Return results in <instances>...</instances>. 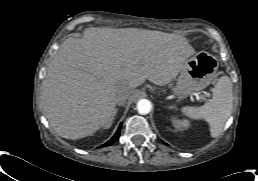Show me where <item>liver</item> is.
<instances>
[{
    "label": "liver",
    "mask_w": 258,
    "mask_h": 181,
    "mask_svg": "<svg viewBox=\"0 0 258 181\" xmlns=\"http://www.w3.org/2000/svg\"><path fill=\"white\" fill-rule=\"evenodd\" d=\"M194 48L180 35L136 28H88L60 46L42 84L41 104L61 137L89 136L113 118L117 97L142 85L168 84Z\"/></svg>",
    "instance_id": "obj_1"
}]
</instances>
